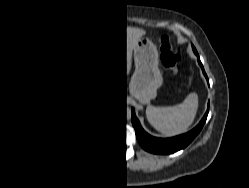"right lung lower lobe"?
Here are the masks:
<instances>
[{
  "label": "right lung lower lobe",
  "mask_w": 249,
  "mask_h": 188,
  "mask_svg": "<svg viewBox=\"0 0 249 188\" xmlns=\"http://www.w3.org/2000/svg\"><path fill=\"white\" fill-rule=\"evenodd\" d=\"M97 38L98 32L93 31L90 34L93 47ZM67 47L56 45L48 51L47 75L43 90L46 129L53 143L70 156H92L99 153L108 141L116 113L125 102L122 100L114 103L111 80L110 89L102 98L104 105L101 112L98 108L94 112V105L98 107L97 102L92 96L84 100L78 72L66 67ZM108 75L112 78L110 73ZM85 109H88V114L84 113Z\"/></svg>",
  "instance_id": "right-lung-lower-lobe-1"
}]
</instances>
